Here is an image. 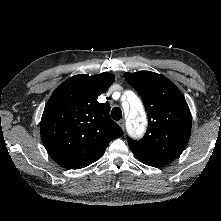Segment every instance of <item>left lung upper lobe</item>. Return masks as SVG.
<instances>
[{"label": "left lung upper lobe", "mask_w": 221, "mask_h": 221, "mask_svg": "<svg viewBox=\"0 0 221 221\" xmlns=\"http://www.w3.org/2000/svg\"><path fill=\"white\" fill-rule=\"evenodd\" d=\"M124 77L143 98L149 120L144 137L129 138V147L144 164L167 165L182 153L190 137L191 113L185 98L163 75L139 71Z\"/></svg>", "instance_id": "5c2ea615"}]
</instances>
